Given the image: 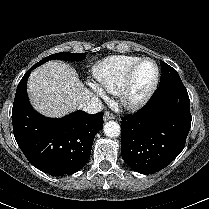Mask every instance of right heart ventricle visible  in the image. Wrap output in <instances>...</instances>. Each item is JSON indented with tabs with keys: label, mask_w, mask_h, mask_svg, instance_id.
Returning a JSON list of instances; mask_svg holds the SVG:
<instances>
[{
	"label": "right heart ventricle",
	"mask_w": 209,
	"mask_h": 209,
	"mask_svg": "<svg viewBox=\"0 0 209 209\" xmlns=\"http://www.w3.org/2000/svg\"><path fill=\"white\" fill-rule=\"evenodd\" d=\"M139 59L137 56L118 55L103 60L94 74L101 89L110 94L119 93L128 70Z\"/></svg>",
	"instance_id": "obj_1"
}]
</instances>
